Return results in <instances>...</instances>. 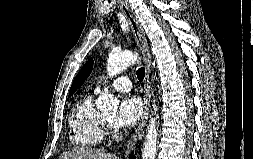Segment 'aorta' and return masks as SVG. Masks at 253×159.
Masks as SVG:
<instances>
[{"instance_id":"obj_1","label":"aorta","mask_w":253,"mask_h":159,"mask_svg":"<svg viewBox=\"0 0 253 159\" xmlns=\"http://www.w3.org/2000/svg\"><path fill=\"white\" fill-rule=\"evenodd\" d=\"M138 60V55L131 51L115 52L109 54L107 60V72L110 77H113ZM119 100L104 90L96 100V107L102 112H115L118 108ZM154 111L150 117L148 131L146 134L144 148L142 150V159H155L157 152V107L153 105Z\"/></svg>"}]
</instances>
